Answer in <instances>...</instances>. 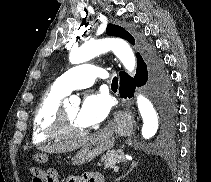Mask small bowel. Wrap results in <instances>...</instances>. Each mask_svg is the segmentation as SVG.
I'll list each match as a JSON object with an SVG mask.
<instances>
[{"mask_svg":"<svg viewBox=\"0 0 211 182\" xmlns=\"http://www.w3.org/2000/svg\"><path fill=\"white\" fill-rule=\"evenodd\" d=\"M32 182H36L33 174ZM67 182H105V180L100 173H87L82 176H71L67 179Z\"/></svg>","mask_w":211,"mask_h":182,"instance_id":"1","label":"small bowel"}]
</instances>
